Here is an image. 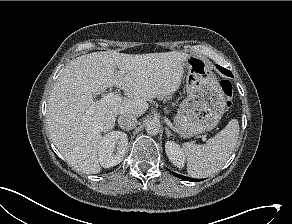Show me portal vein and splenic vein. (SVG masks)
Listing matches in <instances>:
<instances>
[{
    "label": "portal vein and splenic vein",
    "mask_w": 292,
    "mask_h": 224,
    "mask_svg": "<svg viewBox=\"0 0 292 224\" xmlns=\"http://www.w3.org/2000/svg\"><path fill=\"white\" fill-rule=\"evenodd\" d=\"M120 74V72H118ZM122 98L118 95V94H114V93H108L106 96H104L103 98L100 99V101L102 103H106V104H111V105H115L119 102H121ZM91 111H88V113H90Z\"/></svg>",
    "instance_id": "18ae733b"
}]
</instances>
